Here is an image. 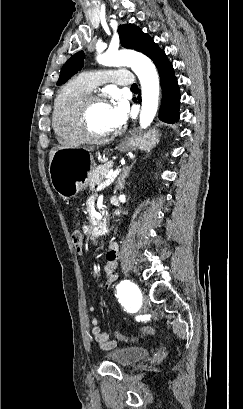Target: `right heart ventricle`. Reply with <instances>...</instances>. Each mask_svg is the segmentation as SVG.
<instances>
[{
	"label": "right heart ventricle",
	"instance_id": "e07e8e85",
	"mask_svg": "<svg viewBox=\"0 0 243 409\" xmlns=\"http://www.w3.org/2000/svg\"><path fill=\"white\" fill-rule=\"evenodd\" d=\"M91 89L80 77L66 82L57 93L53 102L52 126L61 144L75 146L82 139L74 119V109L77 101Z\"/></svg>",
	"mask_w": 243,
	"mask_h": 409
}]
</instances>
